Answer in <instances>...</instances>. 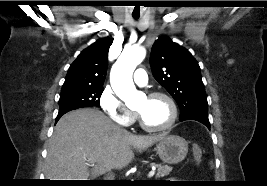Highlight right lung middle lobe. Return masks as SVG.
I'll return each instance as SVG.
<instances>
[{
    "label": "right lung middle lobe",
    "mask_w": 267,
    "mask_h": 186,
    "mask_svg": "<svg viewBox=\"0 0 267 186\" xmlns=\"http://www.w3.org/2000/svg\"><path fill=\"white\" fill-rule=\"evenodd\" d=\"M103 87H62L59 99V113L82 107H98Z\"/></svg>",
    "instance_id": "1"
}]
</instances>
